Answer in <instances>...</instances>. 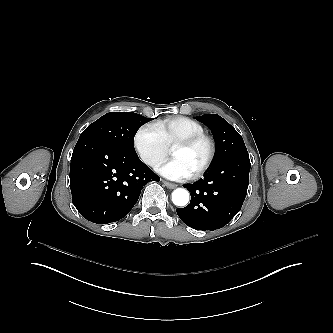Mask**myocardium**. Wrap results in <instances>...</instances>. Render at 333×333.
I'll return each mask as SVG.
<instances>
[{"label":"myocardium","instance_id":"1","mask_svg":"<svg viewBox=\"0 0 333 333\" xmlns=\"http://www.w3.org/2000/svg\"><path fill=\"white\" fill-rule=\"evenodd\" d=\"M201 144L206 145L207 147V154L201 165L198 169L193 173L192 179H196L201 177L212 165L215 155H216V146L214 141L205 134L196 135L192 137H188L183 139L182 141L178 142L175 147H186V148H193L197 147Z\"/></svg>","mask_w":333,"mask_h":333}]
</instances>
